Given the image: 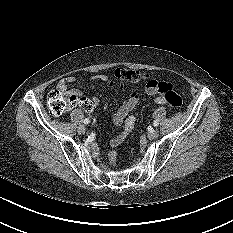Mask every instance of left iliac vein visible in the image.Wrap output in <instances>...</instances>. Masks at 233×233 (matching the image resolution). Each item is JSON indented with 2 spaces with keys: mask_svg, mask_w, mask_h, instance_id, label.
<instances>
[{
  "mask_svg": "<svg viewBox=\"0 0 233 233\" xmlns=\"http://www.w3.org/2000/svg\"><path fill=\"white\" fill-rule=\"evenodd\" d=\"M158 135H159V132H158L157 129L151 130V131L148 133V137H149L150 139H155V138L158 137Z\"/></svg>",
  "mask_w": 233,
  "mask_h": 233,
  "instance_id": "obj_1",
  "label": "left iliac vein"
}]
</instances>
